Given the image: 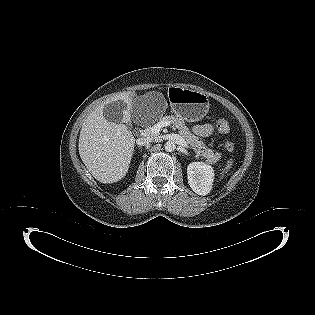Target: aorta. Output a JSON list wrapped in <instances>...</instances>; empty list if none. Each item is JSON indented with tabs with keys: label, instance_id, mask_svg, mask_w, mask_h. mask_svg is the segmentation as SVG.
Returning <instances> with one entry per match:
<instances>
[{
	"label": "aorta",
	"instance_id": "aorta-1",
	"mask_svg": "<svg viewBox=\"0 0 315 315\" xmlns=\"http://www.w3.org/2000/svg\"><path fill=\"white\" fill-rule=\"evenodd\" d=\"M164 147H165V150H166L167 152H172V151L175 150L176 145H175V143H174L173 141H170V140H169V141H167V142L165 143Z\"/></svg>",
	"mask_w": 315,
	"mask_h": 315
}]
</instances>
